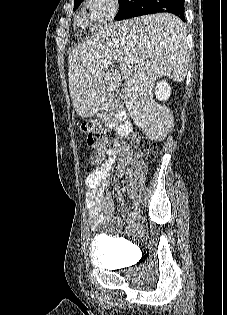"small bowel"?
I'll return each instance as SVG.
<instances>
[{
    "instance_id": "small-bowel-1",
    "label": "small bowel",
    "mask_w": 227,
    "mask_h": 315,
    "mask_svg": "<svg viewBox=\"0 0 227 315\" xmlns=\"http://www.w3.org/2000/svg\"><path fill=\"white\" fill-rule=\"evenodd\" d=\"M104 160L95 165L93 171L85 179L86 200L85 208L87 211L88 225L90 231L94 232L99 227L110 221L114 215V202L112 196L105 193L108 185L107 178L109 171L115 163L122 169L132 160L130 149L121 144L106 148L102 151ZM120 208L124 214L127 213V206L123 198L119 195ZM128 229L132 233L139 231L138 225L130 223Z\"/></svg>"
}]
</instances>
